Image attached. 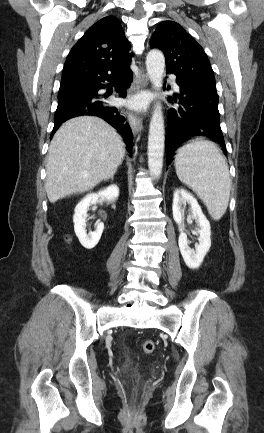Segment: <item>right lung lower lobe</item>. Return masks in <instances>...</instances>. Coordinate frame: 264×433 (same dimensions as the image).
I'll return each mask as SVG.
<instances>
[{"mask_svg": "<svg viewBox=\"0 0 264 433\" xmlns=\"http://www.w3.org/2000/svg\"><path fill=\"white\" fill-rule=\"evenodd\" d=\"M109 81V85L103 82ZM131 83V70L128 66L114 72H101L95 75H80L61 81L58 94V107L54 115L52 135L70 118L80 115H94L103 118L123 136L127 149L131 151L132 131L117 107L109 103L106 95L98 94L100 89L116 86L120 97L126 96Z\"/></svg>", "mask_w": 264, "mask_h": 433, "instance_id": "98d812e1", "label": "right lung lower lobe"}]
</instances>
